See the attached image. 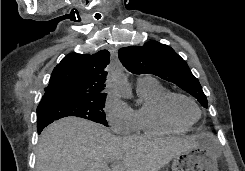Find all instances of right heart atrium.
Instances as JSON below:
<instances>
[{
    "instance_id": "right-heart-atrium-1",
    "label": "right heart atrium",
    "mask_w": 245,
    "mask_h": 171,
    "mask_svg": "<svg viewBox=\"0 0 245 171\" xmlns=\"http://www.w3.org/2000/svg\"><path fill=\"white\" fill-rule=\"evenodd\" d=\"M104 113L110 129L118 134L136 130L134 111L121 101L114 91H109L104 103Z\"/></svg>"
}]
</instances>
